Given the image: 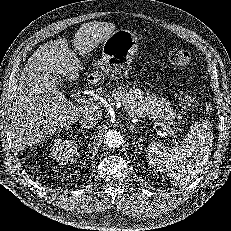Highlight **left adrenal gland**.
Instances as JSON below:
<instances>
[{
    "mask_svg": "<svg viewBox=\"0 0 231 231\" xmlns=\"http://www.w3.org/2000/svg\"><path fill=\"white\" fill-rule=\"evenodd\" d=\"M131 130H132V132L134 133V139H133V146H134V148L137 150V144H138V141H136V138H137V129H136V127H134V126H131Z\"/></svg>",
    "mask_w": 231,
    "mask_h": 231,
    "instance_id": "left-adrenal-gland-1",
    "label": "left adrenal gland"
}]
</instances>
